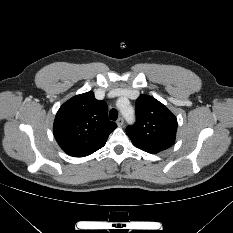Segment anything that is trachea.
Returning a JSON list of instances; mask_svg holds the SVG:
<instances>
[{
  "mask_svg": "<svg viewBox=\"0 0 233 233\" xmlns=\"http://www.w3.org/2000/svg\"><path fill=\"white\" fill-rule=\"evenodd\" d=\"M109 117L111 120L115 121L118 118V112L116 109H111L109 112Z\"/></svg>",
  "mask_w": 233,
  "mask_h": 233,
  "instance_id": "1",
  "label": "trachea"
}]
</instances>
